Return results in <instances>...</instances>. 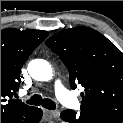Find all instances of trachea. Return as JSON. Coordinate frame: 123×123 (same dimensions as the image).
<instances>
[{
    "mask_svg": "<svg viewBox=\"0 0 123 123\" xmlns=\"http://www.w3.org/2000/svg\"><path fill=\"white\" fill-rule=\"evenodd\" d=\"M26 102L30 105L40 106L42 105L44 108L49 110L56 109V104L48 98H42L41 95L35 94L30 99L26 100Z\"/></svg>",
    "mask_w": 123,
    "mask_h": 123,
    "instance_id": "trachea-1",
    "label": "trachea"
}]
</instances>
